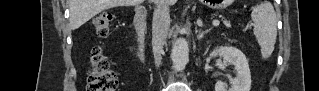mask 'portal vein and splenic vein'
Listing matches in <instances>:
<instances>
[{
    "label": "portal vein and splenic vein",
    "mask_w": 319,
    "mask_h": 91,
    "mask_svg": "<svg viewBox=\"0 0 319 91\" xmlns=\"http://www.w3.org/2000/svg\"><path fill=\"white\" fill-rule=\"evenodd\" d=\"M212 24H213V26H219L220 21H218V20H214V21L212 22Z\"/></svg>",
    "instance_id": "obj_1"
}]
</instances>
